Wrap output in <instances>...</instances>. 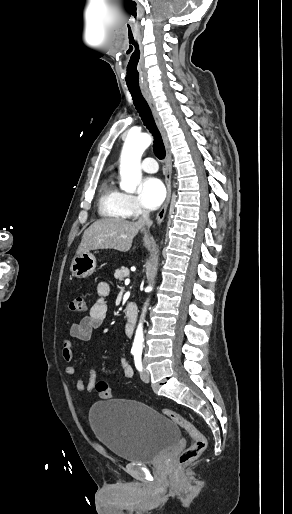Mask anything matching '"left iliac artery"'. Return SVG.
<instances>
[{
    "mask_svg": "<svg viewBox=\"0 0 292 514\" xmlns=\"http://www.w3.org/2000/svg\"><path fill=\"white\" fill-rule=\"evenodd\" d=\"M134 363L137 370L142 371L141 353L134 354Z\"/></svg>",
    "mask_w": 292,
    "mask_h": 514,
    "instance_id": "obj_1",
    "label": "left iliac artery"
}]
</instances>
